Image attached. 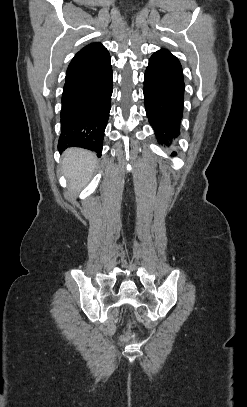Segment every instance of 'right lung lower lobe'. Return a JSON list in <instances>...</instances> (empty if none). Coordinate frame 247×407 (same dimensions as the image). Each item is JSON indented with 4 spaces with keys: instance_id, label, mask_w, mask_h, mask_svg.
<instances>
[{
    "instance_id": "right-lung-lower-lobe-1",
    "label": "right lung lower lobe",
    "mask_w": 247,
    "mask_h": 407,
    "mask_svg": "<svg viewBox=\"0 0 247 407\" xmlns=\"http://www.w3.org/2000/svg\"><path fill=\"white\" fill-rule=\"evenodd\" d=\"M110 56L66 78L58 150L86 148L100 157L113 90Z\"/></svg>"
}]
</instances>
